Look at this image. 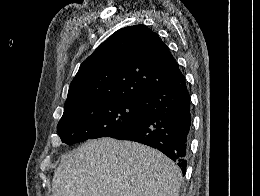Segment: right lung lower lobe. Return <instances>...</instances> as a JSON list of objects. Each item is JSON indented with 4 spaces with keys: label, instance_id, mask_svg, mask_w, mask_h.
<instances>
[{
    "label": "right lung lower lobe",
    "instance_id": "1",
    "mask_svg": "<svg viewBox=\"0 0 260 196\" xmlns=\"http://www.w3.org/2000/svg\"><path fill=\"white\" fill-rule=\"evenodd\" d=\"M145 119L112 138L130 140L156 148L176 161L186 173L191 133V100L182 75L138 100Z\"/></svg>",
    "mask_w": 260,
    "mask_h": 196
}]
</instances>
